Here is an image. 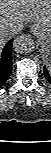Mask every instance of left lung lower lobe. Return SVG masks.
<instances>
[{"mask_svg": "<svg viewBox=\"0 0 51 153\" xmlns=\"http://www.w3.org/2000/svg\"><path fill=\"white\" fill-rule=\"evenodd\" d=\"M43 73H44L46 79L51 83V76H50V74L48 73L46 67L43 68Z\"/></svg>", "mask_w": 51, "mask_h": 153, "instance_id": "1", "label": "left lung lower lobe"}]
</instances>
